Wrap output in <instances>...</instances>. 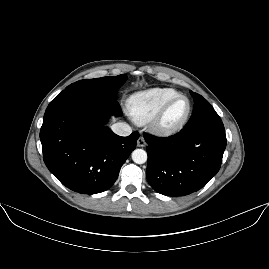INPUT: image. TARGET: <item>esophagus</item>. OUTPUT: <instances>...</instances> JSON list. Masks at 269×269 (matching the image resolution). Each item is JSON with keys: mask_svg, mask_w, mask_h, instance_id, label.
<instances>
[{"mask_svg": "<svg viewBox=\"0 0 269 269\" xmlns=\"http://www.w3.org/2000/svg\"><path fill=\"white\" fill-rule=\"evenodd\" d=\"M145 146L146 141L142 136H140L139 139L137 140V147H145Z\"/></svg>", "mask_w": 269, "mask_h": 269, "instance_id": "34e87169", "label": "esophagus"}]
</instances>
